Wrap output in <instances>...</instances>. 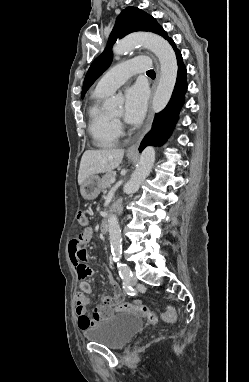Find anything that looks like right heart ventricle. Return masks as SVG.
Masks as SVG:
<instances>
[{
    "label": "right heart ventricle",
    "mask_w": 249,
    "mask_h": 382,
    "mask_svg": "<svg viewBox=\"0 0 249 382\" xmlns=\"http://www.w3.org/2000/svg\"><path fill=\"white\" fill-rule=\"evenodd\" d=\"M108 95L95 89L88 107L89 132L95 145L100 148L113 147L120 136L116 121L102 106Z\"/></svg>",
    "instance_id": "e07e8e85"
}]
</instances>
